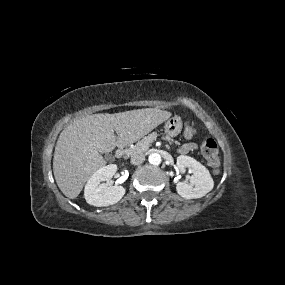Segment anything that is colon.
I'll use <instances>...</instances> for the list:
<instances>
[{
	"mask_svg": "<svg viewBox=\"0 0 285 285\" xmlns=\"http://www.w3.org/2000/svg\"><path fill=\"white\" fill-rule=\"evenodd\" d=\"M195 133V127L188 120L184 132L182 134L183 139L189 141L192 139ZM201 149L212 171L217 174L220 170V159L215 140L209 137H204L201 140Z\"/></svg>",
	"mask_w": 285,
	"mask_h": 285,
	"instance_id": "obj_1",
	"label": "colon"
}]
</instances>
